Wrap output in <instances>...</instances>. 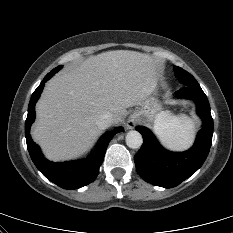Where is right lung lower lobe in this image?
<instances>
[{
    "mask_svg": "<svg viewBox=\"0 0 233 233\" xmlns=\"http://www.w3.org/2000/svg\"><path fill=\"white\" fill-rule=\"evenodd\" d=\"M53 74H47L40 86L31 96L28 115L25 122V136L27 148L32 161L38 170L51 182L64 189H77L83 187L95 180L99 173V167L103 162L104 155L110 140L115 134L123 131L122 127L106 133L95 151L86 159L54 163L45 159L39 146L33 142L29 134L30 126L35 120V104L39 99L44 87V83L49 80Z\"/></svg>",
    "mask_w": 233,
    "mask_h": 233,
    "instance_id": "1",
    "label": "right lung lower lobe"
}]
</instances>
